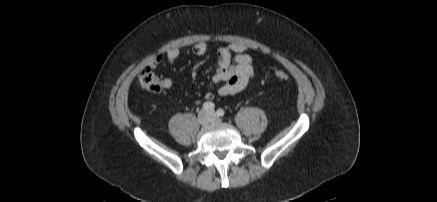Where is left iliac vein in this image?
Wrapping results in <instances>:
<instances>
[{
	"label": "left iliac vein",
	"instance_id": "4c4485c4",
	"mask_svg": "<svg viewBox=\"0 0 437 202\" xmlns=\"http://www.w3.org/2000/svg\"><path fill=\"white\" fill-rule=\"evenodd\" d=\"M209 114H210L213 122H220V119L216 118L215 114L213 112H209Z\"/></svg>",
	"mask_w": 437,
	"mask_h": 202
}]
</instances>
